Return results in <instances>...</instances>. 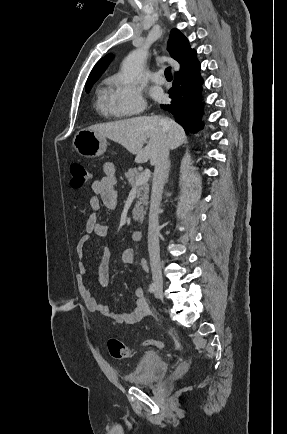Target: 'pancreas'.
<instances>
[{
  "mask_svg": "<svg viewBox=\"0 0 287 434\" xmlns=\"http://www.w3.org/2000/svg\"><path fill=\"white\" fill-rule=\"evenodd\" d=\"M141 173L136 169H129L125 173V177L129 182L131 187H136V181L139 178ZM148 193H149V184L144 183L140 186H137V196H136V204L133 209V219L142 221L146 211L144 210V206L148 205Z\"/></svg>",
  "mask_w": 287,
  "mask_h": 434,
  "instance_id": "1",
  "label": "pancreas"
}]
</instances>
